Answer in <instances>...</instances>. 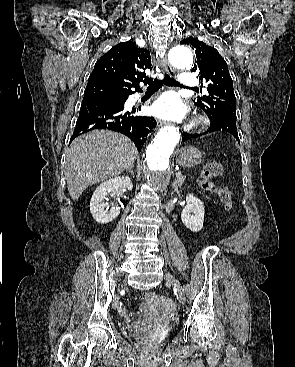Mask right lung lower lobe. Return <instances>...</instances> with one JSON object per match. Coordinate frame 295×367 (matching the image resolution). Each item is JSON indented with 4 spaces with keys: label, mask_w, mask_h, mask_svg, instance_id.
<instances>
[{
    "label": "right lung lower lobe",
    "mask_w": 295,
    "mask_h": 367,
    "mask_svg": "<svg viewBox=\"0 0 295 367\" xmlns=\"http://www.w3.org/2000/svg\"><path fill=\"white\" fill-rule=\"evenodd\" d=\"M128 98V97H127ZM127 98L122 101H87L80 108L76 128L70 142L77 136L96 129H107L128 136L140 152L148 133L156 127L153 117L133 116L141 108L124 109Z\"/></svg>",
    "instance_id": "98d812e1"
}]
</instances>
